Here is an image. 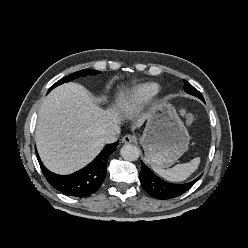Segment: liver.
<instances>
[{
    "mask_svg": "<svg viewBox=\"0 0 248 248\" xmlns=\"http://www.w3.org/2000/svg\"><path fill=\"white\" fill-rule=\"evenodd\" d=\"M123 117L133 120L134 129L144 121L124 97L118 107L103 110L82 85L58 86L44 99L38 113L35 141L44 165L58 174L83 168L104 147L102 137L120 131Z\"/></svg>",
    "mask_w": 248,
    "mask_h": 248,
    "instance_id": "6515ba94",
    "label": "liver"
}]
</instances>
